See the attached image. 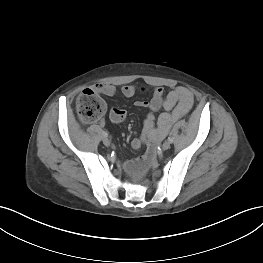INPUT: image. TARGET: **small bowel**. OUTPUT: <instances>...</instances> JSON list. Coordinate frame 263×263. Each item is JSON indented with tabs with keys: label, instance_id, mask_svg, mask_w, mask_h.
I'll list each match as a JSON object with an SVG mask.
<instances>
[{
	"label": "small bowel",
	"instance_id": "1",
	"mask_svg": "<svg viewBox=\"0 0 263 263\" xmlns=\"http://www.w3.org/2000/svg\"><path fill=\"white\" fill-rule=\"evenodd\" d=\"M94 90L109 97L116 93V88L111 84H98ZM136 92L134 85H125L121 89V93L128 98L133 97ZM193 103V94L185 87H176L167 94L162 87H156L149 101L136 102L137 107L148 108L150 112L144 121L141 137L132 140V147L138 149L144 143L163 138L171 125L190 111ZM161 109L164 111L156 118L155 113ZM126 116V111L118 107L113 108L109 115L110 120L116 124L122 123ZM138 167V163L134 161L125 163L126 170L131 173L136 172Z\"/></svg>",
	"mask_w": 263,
	"mask_h": 263
}]
</instances>
